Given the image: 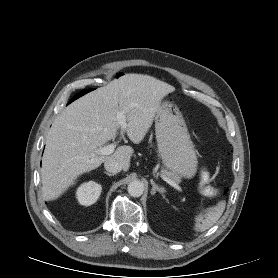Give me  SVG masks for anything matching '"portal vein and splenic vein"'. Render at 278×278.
I'll return each mask as SVG.
<instances>
[{
  "mask_svg": "<svg viewBox=\"0 0 278 278\" xmlns=\"http://www.w3.org/2000/svg\"><path fill=\"white\" fill-rule=\"evenodd\" d=\"M124 111L122 112H119L117 114V119H118V123L121 127V130H122V133H124V131L126 130V127H127V123H126V119H125V115H124ZM116 148V144H110V145H107L105 147H102V148H99L95 151V153L97 155H110L114 152ZM162 179L164 181H166L169 185H171L173 188H175L176 190H178L179 192H182V188L176 183L174 182L173 180H171L170 178L168 177H165V176H161Z\"/></svg>",
  "mask_w": 278,
  "mask_h": 278,
  "instance_id": "obj_1",
  "label": "portal vein and splenic vein"
}]
</instances>
